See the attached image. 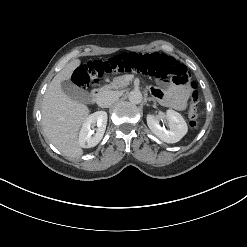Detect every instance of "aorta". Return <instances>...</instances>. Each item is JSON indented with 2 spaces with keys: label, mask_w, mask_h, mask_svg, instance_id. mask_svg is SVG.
I'll return each mask as SVG.
<instances>
[{
  "label": "aorta",
  "mask_w": 247,
  "mask_h": 247,
  "mask_svg": "<svg viewBox=\"0 0 247 247\" xmlns=\"http://www.w3.org/2000/svg\"><path fill=\"white\" fill-rule=\"evenodd\" d=\"M129 101L133 104H139L142 101V93L139 90H132L128 95Z\"/></svg>",
  "instance_id": "obj_1"
}]
</instances>
